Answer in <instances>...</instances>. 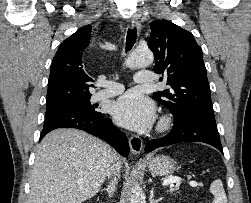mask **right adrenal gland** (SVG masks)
Here are the masks:
<instances>
[{"label":"right adrenal gland","mask_w":251,"mask_h":203,"mask_svg":"<svg viewBox=\"0 0 251 203\" xmlns=\"http://www.w3.org/2000/svg\"><path fill=\"white\" fill-rule=\"evenodd\" d=\"M116 185H117V179L116 177L109 183L107 188L102 189V191H106L108 193V196L111 198L113 197V194L116 190Z\"/></svg>","instance_id":"right-adrenal-gland-1"}]
</instances>
